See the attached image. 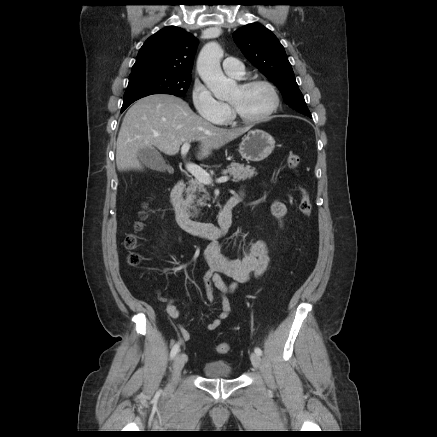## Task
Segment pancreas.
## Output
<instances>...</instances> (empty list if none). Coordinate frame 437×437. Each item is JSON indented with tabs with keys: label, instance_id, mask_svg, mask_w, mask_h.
<instances>
[{
	"label": "pancreas",
	"instance_id": "1",
	"mask_svg": "<svg viewBox=\"0 0 437 437\" xmlns=\"http://www.w3.org/2000/svg\"><path fill=\"white\" fill-rule=\"evenodd\" d=\"M222 174H229L233 177L234 182H239L241 180L244 181L250 179L257 173L255 172V168L233 162L227 167V169L222 171ZM186 193V201L195 213H197V206L207 205L206 201L209 200V193L204 184L200 183L198 180L195 179L190 182Z\"/></svg>",
	"mask_w": 437,
	"mask_h": 437
}]
</instances>
